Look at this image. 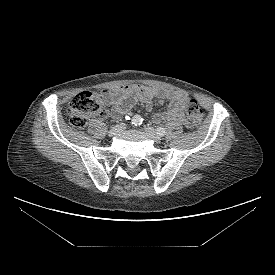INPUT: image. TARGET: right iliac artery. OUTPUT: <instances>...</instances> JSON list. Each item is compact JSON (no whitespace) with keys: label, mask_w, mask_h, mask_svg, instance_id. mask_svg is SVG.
I'll use <instances>...</instances> for the list:
<instances>
[{"label":"right iliac artery","mask_w":275,"mask_h":275,"mask_svg":"<svg viewBox=\"0 0 275 275\" xmlns=\"http://www.w3.org/2000/svg\"><path fill=\"white\" fill-rule=\"evenodd\" d=\"M142 117L140 115H135L133 118H132V125L134 126H138L140 124H142Z\"/></svg>","instance_id":"82829eb1"}]
</instances>
